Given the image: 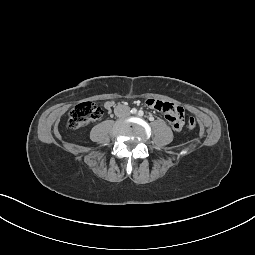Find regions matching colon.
<instances>
[{"mask_svg":"<svg viewBox=\"0 0 255 255\" xmlns=\"http://www.w3.org/2000/svg\"><path fill=\"white\" fill-rule=\"evenodd\" d=\"M102 113L101 108L93 102L80 103L70 111L68 126L71 129H80L87 124L98 121ZM187 127L190 130L196 127V121L193 117L188 118Z\"/></svg>","mask_w":255,"mask_h":255,"instance_id":"1","label":"colon"}]
</instances>
